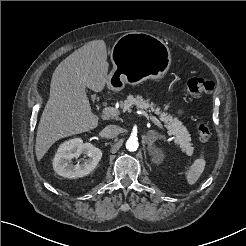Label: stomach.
<instances>
[{"mask_svg": "<svg viewBox=\"0 0 246 246\" xmlns=\"http://www.w3.org/2000/svg\"><path fill=\"white\" fill-rule=\"evenodd\" d=\"M113 69L107 86L120 91L126 83L138 84L146 79H161L171 65L167 45L158 37L144 32H129L120 37L111 51Z\"/></svg>", "mask_w": 246, "mask_h": 246, "instance_id": "obj_1", "label": "stomach"}]
</instances>
